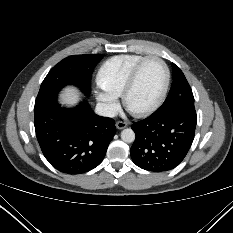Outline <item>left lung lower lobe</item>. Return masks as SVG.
<instances>
[{"label":"left lung lower lobe","instance_id":"obj_1","mask_svg":"<svg viewBox=\"0 0 233 233\" xmlns=\"http://www.w3.org/2000/svg\"><path fill=\"white\" fill-rule=\"evenodd\" d=\"M195 108L170 110L135 122L131 127L136 139L130 153L142 169L163 172L175 168L185 158L194 139Z\"/></svg>","mask_w":233,"mask_h":233}]
</instances>
